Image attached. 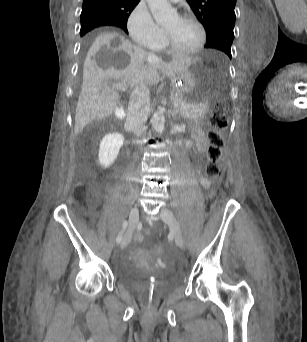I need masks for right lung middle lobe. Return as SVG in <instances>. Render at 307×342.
Listing matches in <instances>:
<instances>
[{"mask_svg": "<svg viewBox=\"0 0 307 342\" xmlns=\"http://www.w3.org/2000/svg\"><path fill=\"white\" fill-rule=\"evenodd\" d=\"M112 22L113 17L107 13L97 11H82L80 34L83 36L85 33L96 27L109 25Z\"/></svg>", "mask_w": 307, "mask_h": 342, "instance_id": "right-lung-middle-lobe-1", "label": "right lung middle lobe"}]
</instances>
